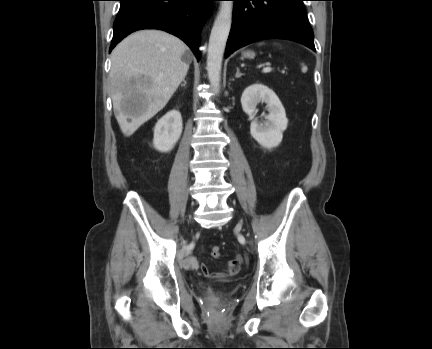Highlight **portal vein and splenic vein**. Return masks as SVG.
I'll list each match as a JSON object with an SVG mask.
<instances>
[{"label":"portal vein and splenic vein","instance_id":"1","mask_svg":"<svg viewBox=\"0 0 432 349\" xmlns=\"http://www.w3.org/2000/svg\"><path fill=\"white\" fill-rule=\"evenodd\" d=\"M271 71H272V68L270 66L263 68V72L264 73H268V72H271Z\"/></svg>","mask_w":432,"mask_h":349}]
</instances>
